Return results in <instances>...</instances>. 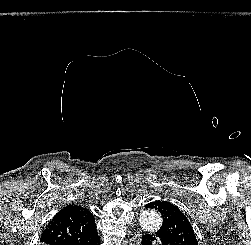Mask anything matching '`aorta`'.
Instances as JSON below:
<instances>
[{"mask_svg": "<svg viewBox=\"0 0 251 245\" xmlns=\"http://www.w3.org/2000/svg\"><path fill=\"white\" fill-rule=\"evenodd\" d=\"M139 222L144 230L155 232L160 228L162 218L158 212L154 210H146L141 214Z\"/></svg>", "mask_w": 251, "mask_h": 245, "instance_id": "aorta-1", "label": "aorta"}]
</instances>
